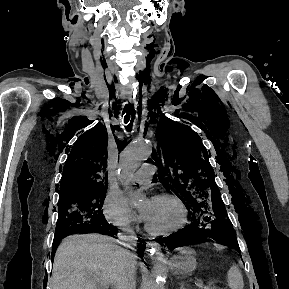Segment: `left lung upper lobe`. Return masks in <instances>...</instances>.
Masks as SVG:
<instances>
[{"instance_id":"left-lung-upper-lobe-1","label":"left lung upper lobe","mask_w":289,"mask_h":289,"mask_svg":"<svg viewBox=\"0 0 289 289\" xmlns=\"http://www.w3.org/2000/svg\"><path fill=\"white\" fill-rule=\"evenodd\" d=\"M161 122L157 124V147L151 160L159 166L160 182L188 204L191 219L215 223L218 242L239 247L230 238L235 233L231 222L217 214L224 204L201 138L186 125L165 117Z\"/></svg>"}]
</instances>
